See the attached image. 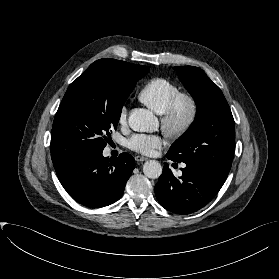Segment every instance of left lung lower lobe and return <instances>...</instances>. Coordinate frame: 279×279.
<instances>
[{"instance_id":"left-lung-lower-lobe-1","label":"left lung lower lobe","mask_w":279,"mask_h":279,"mask_svg":"<svg viewBox=\"0 0 279 279\" xmlns=\"http://www.w3.org/2000/svg\"><path fill=\"white\" fill-rule=\"evenodd\" d=\"M181 170L182 176L176 178L166 164L155 185L159 204L175 214L201 209L215 197L226 180L204 167L186 165Z\"/></svg>"}]
</instances>
